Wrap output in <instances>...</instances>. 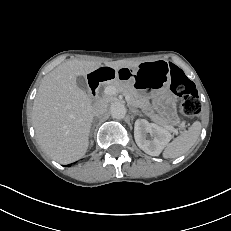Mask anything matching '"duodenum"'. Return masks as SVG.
<instances>
[{
    "mask_svg": "<svg viewBox=\"0 0 231 231\" xmlns=\"http://www.w3.org/2000/svg\"><path fill=\"white\" fill-rule=\"evenodd\" d=\"M110 70L107 67H102L91 76L89 79V97L94 99L97 96V88L101 82L110 79Z\"/></svg>",
    "mask_w": 231,
    "mask_h": 231,
    "instance_id": "duodenum-1",
    "label": "duodenum"
}]
</instances>
